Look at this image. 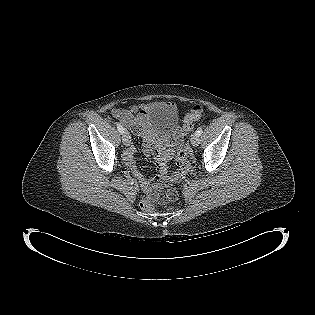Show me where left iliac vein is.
<instances>
[{
  "label": "left iliac vein",
  "instance_id": "1",
  "mask_svg": "<svg viewBox=\"0 0 315 315\" xmlns=\"http://www.w3.org/2000/svg\"><path fill=\"white\" fill-rule=\"evenodd\" d=\"M199 143H200V138H199V136H198L196 133H194V134L191 136V144H192L194 147H196V146L199 145Z\"/></svg>",
  "mask_w": 315,
  "mask_h": 315
}]
</instances>
